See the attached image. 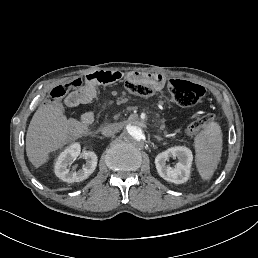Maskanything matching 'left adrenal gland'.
<instances>
[{"label": "left adrenal gland", "mask_w": 258, "mask_h": 258, "mask_svg": "<svg viewBox=\"0 0 258 258\" xmlns=\"http://www.w3.org/2000/svg\"><path fill=\"white\" fill-rule=\"evenodd\" d=\"M154 137H155L156 140H158V141L162 140V137H159V136H157V135H154Z\"/></svg>", "instance_id": "obj_1"}]
</instances>
